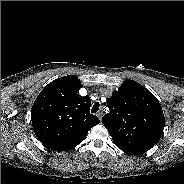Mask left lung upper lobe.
<instances>
[{
    "instance_id": "left-lung-upper-lobe-1",
    "label": "left lung upper lobe",
    "mask_w": 184,
    "mask_h": 184,
    "mask_svg": "<svg viewBox=\"0 0 184 184\" xmlns=\"http://www.w3.org/2000/svg\"><path fill=\"white\" fill-rule=\"evenodd\" d=\"M102 117L114 144L128 154L151 149L162 135L165 119L157 98L134 80H125L107 102Z\"/></svg>"
}]
</instances>
